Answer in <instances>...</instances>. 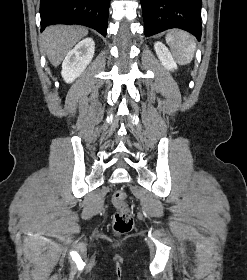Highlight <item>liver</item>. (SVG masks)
Listing matches in <instances>:
<instances>
[{
	"label": "liver",
	"mask_w": 247,
	"mask_h": 280,
	"mask_svg": "<svg viewBox=\"0 0 247 280\" xmlns=\"http://www.w3.org/2000/svg\"><path fill=\"white\" fill-rule=\"evenodd\" d=\"M87 33V29L80 26L47 27L42 34L41 44L51 64L57 67L72 47Z\"/></svg>",
	"instance_id": "6515ba94"
}]
</instances>
